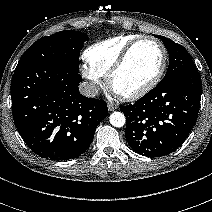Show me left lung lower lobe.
<instances>
[{
  "instance_id": "1",
  "label": "left lung lower lobe",
  "mask_w": 212,
  "mask_h": 212,
  "mask_svg": "<svg viewBox=\"0 0 212 212\" xmlns=\"http://www.w3.org/2000/svg\"><path fill=\"white\" fill-rule=\"evenodd\" d=\"M202 82L198 70L158 84L134 104L121 107L130 147L147 157L175 151L196 123Z\"/></svg>"
}]
</instances>
